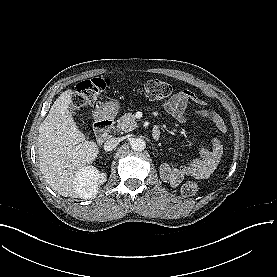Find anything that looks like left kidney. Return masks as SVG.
<instances>
[{"label": "left kidney", "mask_w": 277, "mask_h": 277, "mask_svg": "<svg viewBox=\"0 0 277 277\" xmlns=\"http://www.w3.org/2000/svg\"><path fill=\"white\" fill-rule=\"evenodd\" d=\"M160 175L162 180L170 184H176L178 182L177 179L183 177V174L179 170H172L166 163L160 165Z\"/></svg>", "instance_id": "obj_1"}]
</instances>
